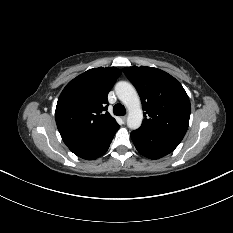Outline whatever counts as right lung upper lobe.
Returning <instances> with one entry per match:
<instances>
[{"label": "right lung upper lobe", "mask_w": 233, "mask_h": 233, "mask_svg": "<svg viewBox=\"0 0 233 233\" xmlns=\"http://www.w3.org/2000/svg\"><path fill=\"white\" fill-rule=\"evenodd\" d=\"M121 73L115 67L90 69L63 89L55 119L67 146L87 142L118 126L107 112V95Z\"/></svg>", "instance_id": "1"}]
</instances>
